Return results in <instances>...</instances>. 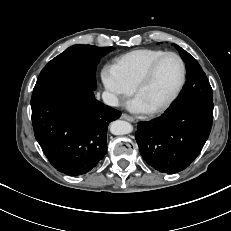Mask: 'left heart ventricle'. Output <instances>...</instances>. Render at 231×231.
<instances>
[{
    "label": "left heart ventricle",
    "instance_id": "left-heart-ventricle-1",
    "mask_svg": "<svg viewBox=\"0 0 231 231\" xmlns=\"http://www.w3.org/2000/svg\"><path fill=\"white\" fill-rule=\"evenodd\" d=\"M180 78L179 61L173 56L166 57L160 62L150 81L136 96L151 109L164 102L174 92Z\"/></svg>",
    "mask_w": 231,
    "mask_h": 231
}]
</instances>
